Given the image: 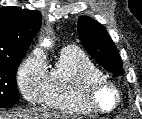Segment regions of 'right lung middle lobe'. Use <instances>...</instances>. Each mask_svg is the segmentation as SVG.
I'll return each mask as SVG.
<instances>
[{
  "label": "right lung middle lobe",
  "instance_id": "obj_1",
  "mask_svg": "<svg viewBox=\"0 0 142 119\" xmlns=\"http://www.w3.org/2000/svg\"><path fill=\"white\" fill-rule=\"evenodd\" d=\"M23 57L0 59V108L11 106L19 100L16 72Z\"/></svg>",
  "mask_w": 142,
  "mask_h": 119
}]
</instances>
